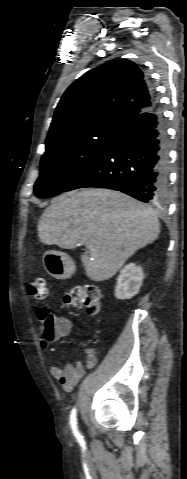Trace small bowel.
Returning <instances> with one entry per match:
<instances>
[{
    "label": "small bowel",
    "instance_id": "c3829d8e",
    "mask_svg": "<svg viewBox=\"0 0 187 479\" xmlns=\"http://www.w3.org/2000/svg\"><path fill=\"white\" fill-rule=\"evenodd\" d=\"M56 319L60 324L63 325L61 337L68 336L72 329L71 322L67 318L61 316L56 317ZM50 342V340L43 338L40 340V347L42 349H48ZM85 355L86 357L84 362H81L80 360H73L63 367L56 364H51L47 360L51 375L60 382L65 392H71L85 375V372L95 367L97 363V357L95 355L94 349L87 348L85 350Z\"/></svg>",
    "mask_w": 187,
    "mask_h": 479
}]
</instances>
